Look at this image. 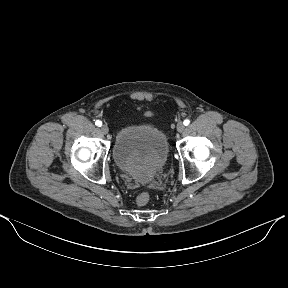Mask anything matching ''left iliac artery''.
<instances>
[{
	"label": "left iliac artery",
	"instance_id": "obj_1",
	"mask_svg": "<svg viewBox=\"0 0 288 288\" xmlns=\"http://www.w3.org/2000/svg\"><path fill=\"white\" fill-rule=\"evenodd\" d=\"M189 123H190V121H189L188 119H185L184 122H183V124H184L185 126L189 125Z\"/></svg>",
	"mask_w": 288,
	"mask_h": 288
}]
</instances>
